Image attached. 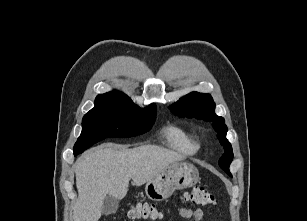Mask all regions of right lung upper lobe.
Instances as JSON below:
<instances>
[{
    "mask_svg": "<svg viewBox=\"0 0 307 221\" xmlns=\"http://www.w3.org/2000/svg\"><path fill=\"white\" fill-rule=\"evenodd\" d=\"M99 102L133 103L128 96L117 91L99 94L95 99V103Z\"/></svg>",
    "mask_w": 307,
    "mask_h": 221,
    "instance_id": "right-lung-upper-lobe-1",
    "label": "right lung upper lobe"
}]
</instances>
